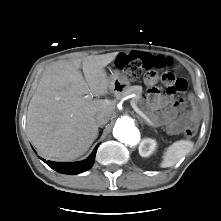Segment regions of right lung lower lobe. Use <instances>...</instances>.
I'll use <instances>...</instances> for the list:
<instances>
[{
	"instance_id": "1",
	"label": "right lung lower lobe",
	"mask_w": 221,
	"mask_h": 221,
	"mask_svg": "<svg viewBox=\"0 0 221 221\" xmlns=\"http://www.w3.org/2000/svg\"><path fill=\"white\" fill-rule=\"evenodd\" d=\"M97 148L98 146L95 147L93 153L85 161L74 162V163H61V162H53V161L46 162L44 159L42 160L48 166H50L52 169H54L55 171L59 173L75 175V174L85 172L92 167L95 161Z\"/></svg>"
}]
</instances>
